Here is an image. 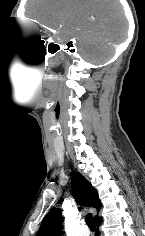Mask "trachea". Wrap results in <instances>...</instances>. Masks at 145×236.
<instances>
[{
    "instance_id": "3493384b",
    "label": "trachea",
    "mask_w": 145,
    "mask_h": 236,
    "mask_svg": "<svg viewBox=\"0 0 145 236\" xmlns=\"http://www.w3.org/2000/svg\"><path fill=\"white\" fill-rule=\"evenodd\" d=\"M85 221H86V223H87V225L90 229H95V223H94V220H93V217H92L91 213L86 215Z\"/></svg>"
}]
</instances>
